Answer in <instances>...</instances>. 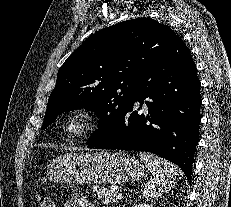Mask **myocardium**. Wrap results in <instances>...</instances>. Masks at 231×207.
<instances>
[{
	"instance_id": "myocardium-1",
	"label": "myocardium",
	"mask_w": 231,
	"mask_h": 207,
	"mask_svg": "<svg viewBox=\"0 0 231 207\" xmlns=\"http://www.w3.org/2000/svg\"><path fill=\"white\" fill-rule=\"evenodd\" d=\"M95 126L94 113L85 108H77L65 117L62 129L68 138L79 139L89 135Z\"/></svg>"
}]
</instances>
